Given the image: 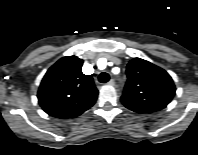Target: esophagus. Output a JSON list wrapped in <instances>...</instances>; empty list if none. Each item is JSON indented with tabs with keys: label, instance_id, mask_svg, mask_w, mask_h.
Masks as SVG:
<instances>
[{
	"label": "esophagus",
	"instance_id": "obj_1",
	"mask_svg": "<svg viewBox=\"0 0 198 155\" xmlns=\"http://www.w3.org/2000/svg\"><path fill=\"white\" fill-rule=\"evenodd\" d=\"M107 84L108 85H115V80L114 79H111Z\"/></svg>",
	"mask_w": 198,
	"mask_h": 155
}]
</instances>
